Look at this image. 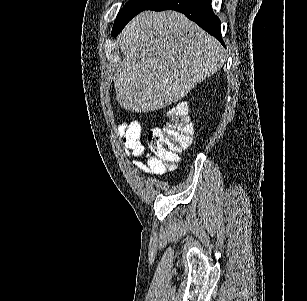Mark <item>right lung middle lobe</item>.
<instances>
[{"instance_id":"1","label":"right lung middle lobe","mask_w":307,"mask_h":301,"mask_svg":"<svg viewBox=\"0 0 307 301\" xmlns=\"http://www.w3.org/2000/svg\"><path fill=\"white\" fill-rule=\"evenodd\" d=\"M158 1L159 0H129L118 13L111 35L117 36L134 16L148 9Z\"/></svg>"}]
</instances>
